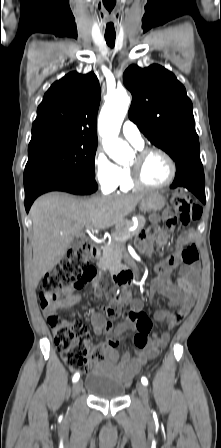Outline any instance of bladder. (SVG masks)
Here are the masks:
<instances>
[{"label": "bladder", "instance_id": "bladder-1", "mask_svg": "<svg viewBox=\"0 0 221 448\" xmlns=\"http://www.w3.org/2000/svg\"><path fill=\"white\" fill-rule=\"evenodd\" d=\"M84 386L91 396L101 400H119L124 397L126 390L121 380L103 371L88 374Z\"/></svg>", "mask_w": 221, "mask_h": 448}]
</instances>
